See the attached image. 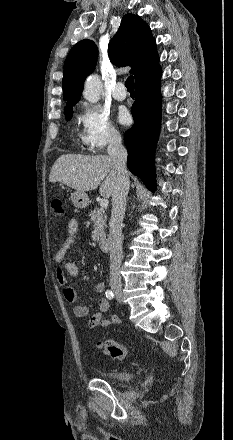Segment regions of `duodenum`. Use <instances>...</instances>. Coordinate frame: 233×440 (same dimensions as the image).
Wrapping results in <instances>:
<instances>
[{
  "instance_id": "obj_1",
  "label": "duodenum",
  "mask_w": 233,
  "mask_h": 440,
  "mask_svg": "<svg viewBox=\"0 0 233 440\" xmlns=\"http://www.w3.org/2000/svg\"><path fill=\"white\" fill-rule=\"evenodd\" d=\"M110 245H111V242L108 238H100L99 239V246L102 250H105V251L109 250Z\"/></svg>"
}]
</instances>
